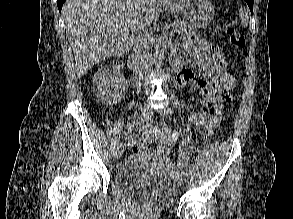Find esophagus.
I'll use <instances>...</instances> for the list:
<instances>
[{
    "instance_id": "1",
    "label": "esophagus",
    "mask_w": 293,
    "mask_h": 219,
    "mask_svg": "<svg viewBox=\"0 0 293 219\" xmlns=\"http://www.w3.org/2000/svg\"><path fill=\"white\" fill-rule=\"evenodd\" d=\"M157 1H158V3L166 4V3H168L169 0H157Z\"/></svg>"
}]
</instances>
